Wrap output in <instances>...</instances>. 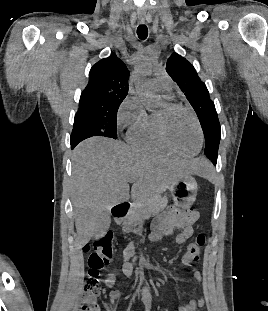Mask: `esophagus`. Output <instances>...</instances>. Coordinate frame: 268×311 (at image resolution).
<instances>
[{
    "label": "esophagus",
    "instance_id": "34e87169",
    "mask_svg": "<svg viewBox=\"0 0 268 311\" xmlns=\"http://www.w3.org/2000/svg\"><path fill=\"white\" fill-rule=\"evenodd\" d=\"M138 20H139L140 23H145L146 17L144 15H139L138 16Z\"/></svg>",
    "mask_w": 268,
    "mask_h": 311
}]
</instances>
